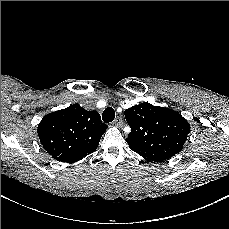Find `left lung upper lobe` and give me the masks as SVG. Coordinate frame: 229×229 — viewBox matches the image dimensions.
Returning <instances> with one entry per match:
<instances>
[{
  "label": "left lung upper lobe",
  "instance_id": "left-lung-upper-lobe-1",
  "mask_svg": "<svg viewBox=\"0 0 229 229\" xmlns=\"http://www.w3.org/2000/svg\"><path fill=\"white\" fill-rule=\"evenodd\" d=\"M125 118L131 127L126 139L130 149L148 161L162 162L179 153L190 132L181 114L148 102L126 109Z\"/></svg>",
  "mask_w": 229,
  "mask_h": 229
}]
</instances>
